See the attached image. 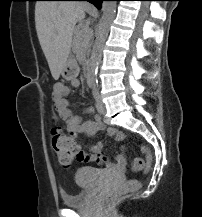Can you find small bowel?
Here are the masks:
<instances>
[{
  "mask_svg": "<svg viewBox=\"0 0 202 217\" xmlns=\"http://www.w3.org/2000/svg\"><path fill=\"white\" fill-rule=\"evenodd\" d=\"M73 86L79 85V80L74 78L72 80ZM70 90L62 83H56L53 87V99L54 108L58 117L63 121L65 130L71 137H76L78 134L93 135L104 129V125L100 116L95 115L92 119L83 120L81 117L72 113L69 107V101L67 96ZM88 114H93V108H87L85 110ZM109 136H115L117 139H121L123 134L115 128H109L107 130ZM104 148L103 143H97L91 147L90 152H85V156L80 159L84 162H97L102 166V170L114 173L124 174L127 166V157L124 151L117 152L114 159L111 160L107 156L102 154Z\"/></svg>",
  "mask_w": 202,
  "mask_h": 217,
  "instance_id": "obj_1",
  "label": "small bowel"
}]
</instances>
